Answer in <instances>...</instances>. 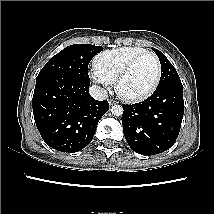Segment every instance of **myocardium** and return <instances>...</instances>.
<instances>
[{"label": "myocardium", "mask_w": 214, "mask_h": 214, "mask_svg": "<svg viewBox=\"0 0 214 214\" xmlns=\"http://www.w3.org/2000/svg\"><path fill=\"white\" fill-rule=\"evenodd\" d=\"M145 56H150L153 58L155 64H156V77L154 80V83L152 84V86L149 88V90H147L146 92L140 94V95H126L122 92L121 90V85L123 83V81L125 80V78L128 76V74L130 73V71L132 70V68L134 67V65L143 57ZM161 76H162V67H161V63L158 59V57L149 51H145L143 53H140L138 55H136L135 57H133L126 65L125 67L122 69V71L120 72L117 80H116V91L117 94L120 98H122L123 100L127 101V102H141L144 101L146 99H148L151 95H153V93L157 90L160 80H161Z\"/></svg>", "instance_id": "obj_1"}]
</instances>
